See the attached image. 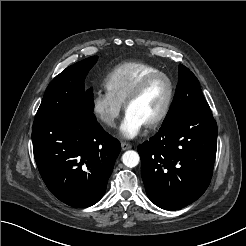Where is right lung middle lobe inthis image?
<instances>
[{"mask_svg":"<svg viewBox=\"0 0 246 246\" xmlns=\"http://www.w3.org/2000/svg\"><path fill=\"white\" fill-rule=\"evenodd\" d=\"M96 60L97 56H91L57 75L48 85L35 120H64L79 114L91 115L94 109L93 89L85 91L84 78Z\"/></svg>","mask_w":246,"mask_h":246,"instance_id":"1","label":"right lung middle lobe"}]
</instances>
